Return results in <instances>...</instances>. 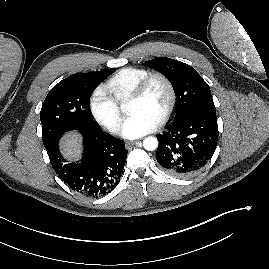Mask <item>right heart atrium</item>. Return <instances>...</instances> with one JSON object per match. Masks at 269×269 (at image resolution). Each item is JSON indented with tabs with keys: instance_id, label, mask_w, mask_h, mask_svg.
Masks as SVG:
<instances>
[{
	"instance_id": "1",
	"label": "right heart atrium",
	"mask_w": 269,
	"mask_h": 269,
	"mask_svg": "<svg viewBox=\"0 0 269 269\" xmlns=\"http://www.w3.org/2000/svg\"><path fill=\"white\" fill-rule=\"evenodd\" d=\"M89 108L94 119L113 134L120 131L122 114L105 87L97 86L90 95Z\"/></svg>"
}]
</instances>
